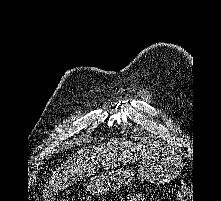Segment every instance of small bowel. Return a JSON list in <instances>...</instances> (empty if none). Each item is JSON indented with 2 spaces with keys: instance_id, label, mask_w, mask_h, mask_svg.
Wrapping results in <instances>:
<instances>
[{
  "instance_id": "c3829d8e",
  "label": "small bowel",
  "mask_w": 221,
  "mask_h": 201,
  "mask_svg": "<svg viewBox=\"0 0 221 201\" xmlns=\"http://www.w3.org/2000/svg\"><path fill=\"white\" fill-rule=\"evenodd\" d=\"M127 201H148L146 197L142 194H135L130 196Z\"/></svg>"
}]
</instances>
